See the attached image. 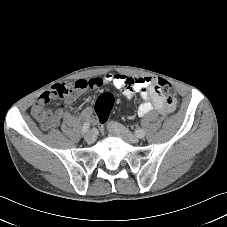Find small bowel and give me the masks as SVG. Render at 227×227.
<instances>
[{
	"mask_svg": "<svg viewBox=\"0 0 227 227\" xmlns=\"http://www.w3.org/2000/svg\"><path fill=\"white\" fill-rule=\"evenodd\" d=\"M161 80L163 79L107 74L104 77H95L89 80L56 84L50 91L39 97L33 105L32 115L43 129L57 126L62 119L69 117L72 104L87 89L112 84L127 99H132L136 94L141 96L143 102L138 107L139 116H145L153 110L161 114L176 116L180 112V105L172 95H166L162 92L159 86ZM56 98H62L63 104L55 111L46 109L47 103ZM91 116V107L84 108L80 113V117L84 120H90Z\"/></svg>",
	"mask_w": 227,
	"mask_h": 227,
	"instance_id": "c3829d8e",
	"label": "small bowel"
}]
</instances>
